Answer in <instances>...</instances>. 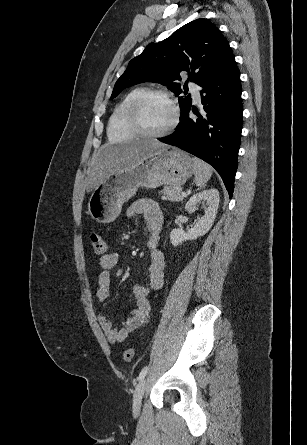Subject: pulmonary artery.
<instances>
[{"instance_id":"pulmonary-artery-1","label":"pulmonary artery","mask_w":307,"mask_h":445,"mask_svg":"<svg viewBox=\"0 0 307 445\" xmlns=\"http://www.w3.org/2000/svg\"><path fill=\"white\" fill-rule=\"evenodd\" d=\"M188 87H189V89L194 90V89H196L197 84H196V82L191 81V82H189ZM193 94H194V98H195L196 100H199V99H200V96H199V92H198V91H194Z\"/></svg>"}]
</instances>
